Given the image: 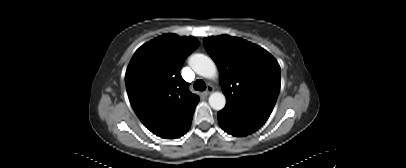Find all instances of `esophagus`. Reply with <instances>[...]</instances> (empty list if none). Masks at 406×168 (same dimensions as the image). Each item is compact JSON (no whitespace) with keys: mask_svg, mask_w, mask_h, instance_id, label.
I'll list each match as a JSON object with an SVG mask.
<instances>
[{"mask_svg":"<svg viewBox=\"0 0 406 168\" xmlns=\"http://www.w3.org/2000/svg\"><path fill=\"white\" fill-rule=\"evenodd\" d=\"M213 90H214L213 87L211 85H209L207 87V90L204 92V94L209 95V94H211L213 92Z\"/></svg>","mask_w":406,"mask_h":168,"instance_id":"1","label":"esophagus"}]
</instances>
